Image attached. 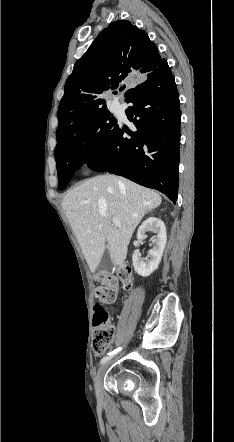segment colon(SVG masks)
Returning <instances> with one entry per match:
<instances>
[{"instance_id": "5ec220e1", "label": "colon", "mask_w": 234, "mask_h": 442, "mask_svg": "<svg viewBox=\"0 0 234 442\" xmlns=\"http://www.w3.org/2000/svg\"><path fill=\"white\" fill-rule=\"evenodd\" d=\"M120 284L126 290H130L133 285L132 270L126 264L121 265L116 274L103 276L102 283L95 290L98 303L93 322V348L97 355H102L109 348L114 337L115 329L109 324V315L103 305L116 300Z\"/></svg>"}]
</instances>
